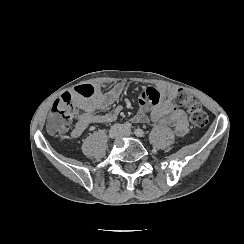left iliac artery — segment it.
Masks as SVG:
<instances>
[{
  "mask_svg": "<svg viewBox=\"0 0 244 244\" xmlns=\"http://www.w3.org/2000/svg\"><path fill=\"white\" fill-rule=\"evenodd\" d=\"M134 133H135V135L138 136V137H144L145 134H146V133H145L142 129H140V128L135 129Z\"/></svg>",
  "mask_w": 244,
  "mask_h": 244,
  "instance_id": "44dca946",
  "label": "left iliac artery"
}]
</instances>
